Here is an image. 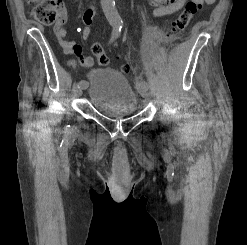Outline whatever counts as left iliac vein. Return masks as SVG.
Segmentation results:
<instances>
[{
    "instance_id": "1",
    "label": "left iliac vein",
    "mask_w": 247,
    "mask_h": 245,
    "mask_svg": "<svg viewBox=\"0 0 247 245\" xmlns=\"http://www.w3.org/2000/svg\"><path fill=\"white\" fill-rule=\"evenodd\" d=\"M137 87H138L139 93H140L144 98H148V97H149L147 84H138Z\"/></svg>"
}]
</instances>
